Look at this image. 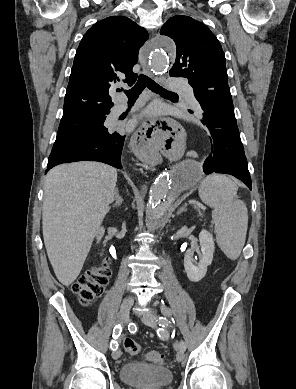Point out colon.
<instances>
[{
    "mask_svg": "<svg viewBox=\"0 0 296 389\" xmlns=\"http://www.w3.org/2000/svg\"><path fill=\"white\" fill-rule=\"evenodd\" d=\"M111 276L109 260L103 259L98 265L89 269L73 283L72 291L76 294L79 302L86 306L95 298L101 295ZM125 351L130 355H138L141 351L139 345L131 338L123 341ZM148 361L153 363H163L165 355L156 350H149L145 353Z\"/></svg>",
    "mask_w": 296,
    "mask_h": 389,
    "instance_id": "5ec220e1",
    "label": "colon"
}]
</instances>
